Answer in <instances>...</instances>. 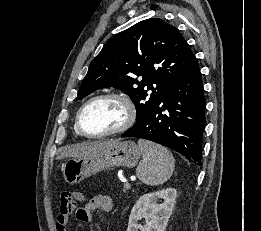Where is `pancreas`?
I'll list each match as a JSON object with an SVG mask.
<instances>
[{
    "instance_id": "pancreas-1",
    "label": "pancreas",
    "mask_w": 261,
    "mask_h": 231,
    "mask_svg": "<svg viewBox=\"0 0 261 231\" xmlns=\"http://www.w3.org/2000/svg\"><path fill=\"white\" fill-rule=\"evenodd\" d=\"M129 188H130V186H126V185H124V189H123V191L126 192V190H128Z\"/></svg>"
}]
</instances>
